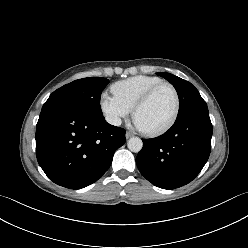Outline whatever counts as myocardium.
<instances>
[{
	"mask_svg": "<svg viewBox=\"0 0 248 248\" xmlns=\"http://www.w3.org/2000/svg\"><path fill=\"white\" fill-rule=\"evenodd\" d=\"M165 86L168 87V88H170L171 91L173 92V95H174L175 108H174L173 114L170 117V119L164 125H162V126H160L158 128H155V129H144V128H141L140 127L141 131L143 133H145L146 135L157 136V135H160V134L166 132L167 130H169L173 126V124L175 123V121H176V119L178 117V114H179V111H180V96H179V93H178V91H177V89L175 88L174 85H172L169 82L162 81V82H159L156 85L152 86L151 88H149L136 101V103L134 104V106L132 108L133 118L135 119L138 110L150 100V98L154 95V93L158 89H160L161 87H165Z\"/></svg>",
	"mask_w": 248,
	"mask_h": 248,
	"instance_id": "1",
	"label": "myocardium"
}]
</instances>
